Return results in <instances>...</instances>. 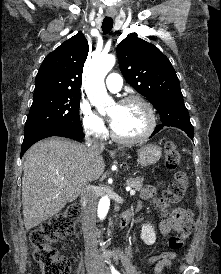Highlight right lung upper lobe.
Segmentation results:
<instances>
[{
  "label": "right lung upper lobe",
  "mask_w": 221,
  "mask_h": 274,
  "mask_svg": "<svg viewBox=\"0 0 221 274\" xmlns=\"http://www.w3.org/2000/svg\"><path fill=\"white\" fill-rule=\"evenodd\" d=\"M88 42L78 33L49 53L36 75L34 98L80 94Z\"/></svg>",
  "instance_id": "obj_1"
}]
</instances>
